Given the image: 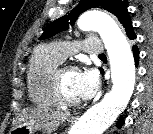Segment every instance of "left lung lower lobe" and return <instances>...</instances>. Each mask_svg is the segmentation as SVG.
Returning <instances> with one entry per match:
<instances>
[{"label":"left lung lower lobe","mask_w":153,"mask_h":134,"mask_svg":"<svg viewBox=\"0 0 153 134\" xmlns=\"http://www.w3.org/2000/svg\"><path fill=\"white\" fill-rule=\"evenodd\" d=\"M133 54H134V59H135V63H136V65H138V60H139V50H138V48H137V46L136 45H134L133 46ZM101 73H103V70L101 69ZM123 120H124V118L122 117V118H120V120L118 121V123H117V127H121V125L123 124Z\"/></svg>","instance_id":"1"}]
</instances>
